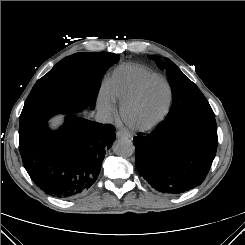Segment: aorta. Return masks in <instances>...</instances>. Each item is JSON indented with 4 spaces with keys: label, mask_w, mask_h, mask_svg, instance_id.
<instances>
[{
    "label": "aorta",
    "mask_w": 245,
    "mask_h": 245,
    "mask_svg": "<svg viewBox=\"0 0 245 245\" xmlns=\"http://www.w3.org/2000/svg\"><path fill=\"white\" fill-rule=\"evenodd\" d=\"M134 145L131 140L127 138H120L113 144V151L116 155L121 157H130L134 153Z\"/></svg>",
    "instance_id": "762f6f07"
}]
</instances>
